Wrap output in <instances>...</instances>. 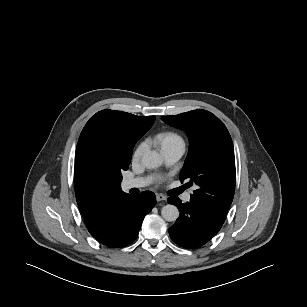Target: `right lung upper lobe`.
<instances>
[{
    "mask_svg": "<svg viewBox=\"0 0 307 307\" xmlns=\"http://www.w3.org/2000/svg\"><path fill=\"white\" fill-rule=\"evenodd\" d=\"M154 116L140 117L122 111L103 110L93 115L83 128L75 153V193L87 228L100 236L112 221L123 200L122 178L101 160L100 144L109 134L132 131L143 136L153 125Z\"/></svg>",
    "mask_w": 307,
    "mask_h": 307,
    "instance_id": "1",
    "label": "right lung upper lobe"
}]
</instances>
